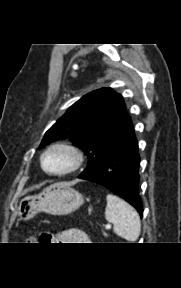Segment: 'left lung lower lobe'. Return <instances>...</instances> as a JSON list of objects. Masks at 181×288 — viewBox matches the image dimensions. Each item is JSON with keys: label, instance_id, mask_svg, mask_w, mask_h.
<instances>
[{"label": "left lung lower lobe", "instance_id": "obj_1", "mask_svg": "<svg viewBox=\"0 0 181 288\" xmlns=\"http://www.w3.org/2000/svg\"><path fill=\"white\" fill-rule=\"evenodd\" d=\"M139 163L138 142L129 118L120 140L91 173L79 178L108 188L135 207L142 217L143 205L138 189Z\"/></svg>", "mask_w": 181, "mask_h": 288}]
</instances>
